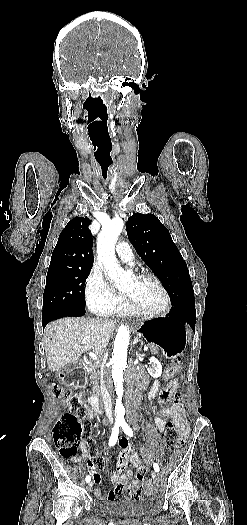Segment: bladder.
<instances>
[{
    "mask_svg": "<svg viewBox=\"0 0 247 525\" xmlns=\"http://www.w3.org/2000/svg\"><path fill=\"white\" fill-rule=\"evenodd\" d=\"M154 503L155 499L153 497L142 496L110 501L105 505L107 512L117 518H138L149 514V510Z\"/></svg>",
    "mask_w": 247,
    "mask_h": 525,
    "instance_id": "obj_1",
    "label": "bladder"
}]
</instances>
